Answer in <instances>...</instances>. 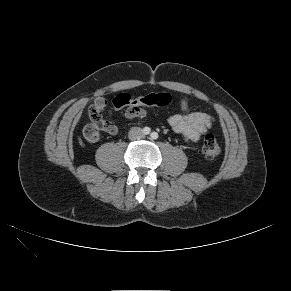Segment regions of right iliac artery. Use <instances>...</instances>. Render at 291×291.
<instances>
[{"instance_id": "obj_1", "label": "right iliac artery", "mask_w": 291, "mask_h": 291, "mask_svg": "<svg viewBox=\"0 0 291 291\" xmlns=\"http://www.w3.org/2000/svg\"><path fill=\"white\" fill-rule=\"evenodd\" d=\"M150 131H151V129H150L149 127H144V128H143V133H144L145 135H148V134L150 133Z\"/></svg>"}]
</instances>
